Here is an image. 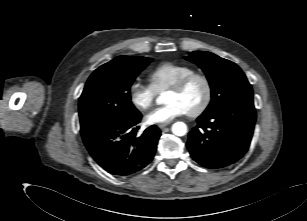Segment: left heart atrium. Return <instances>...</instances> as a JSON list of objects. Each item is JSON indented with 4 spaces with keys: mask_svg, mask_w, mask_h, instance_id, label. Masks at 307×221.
<instances>
[{
    "mask_svg": "<svg viewBox=\"0 0 307 221\" xmlns=\"http://www.w3.org/2000/svg\"><path fill=\"white\" fill-rule=\"evenodd\" d=\"M186 113L184 107L180 103L174 101L148 113L145 117V121L150 125L164 124Z\"/></svg>",
    "mask_w": 307,
    "mask_h": 221,
    "instance_id": "39dd6f15",
    "label": "left heart atrium"
}]
</instances>
